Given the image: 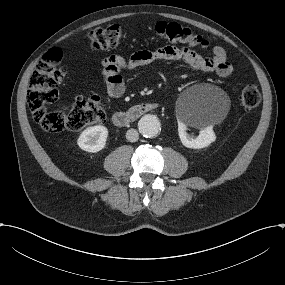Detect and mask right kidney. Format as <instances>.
Returning <instances> with one entry per match:
<instances>
[{
  "label": "right kidney",
  "mask_w": 285,
  "mask_h": 285,
  "mask_svg": "<svg viewBox=\"0 0 285 285\" xmlns=\"http://www.w3.org/2000/svg\"><path fill=\"white\" fill-rule=\"evenodd\" d=\"M108 130L106 127L96 125L86 128L77 140L78 146L87 152H98L105 147Z\"/></svg>",
  "instance_id": "obj_1"
}]
</instances>
